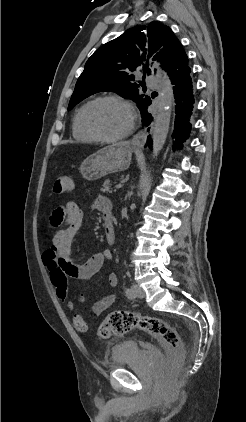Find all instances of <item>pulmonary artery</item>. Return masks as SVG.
I'll return each instance as SVG.
<instances>
[{
    "label": "pulmonary artery",
    "mask_w": 246,
    "mask_h": 422,
    "mask_svg": "<svg viewBox=\"0 0 246 422\" xmlns=\"http://www.w3.org/2000/svg\"><path fill=\"white\" fill-rule=\"evenodd\" d=\"M146 83L152 87V88H158L159 87V80L157 77L153 75H149L146 77Z\"/></svg>",
    "instance_id": "pulmonary-artery-1"
}]
</instances>
